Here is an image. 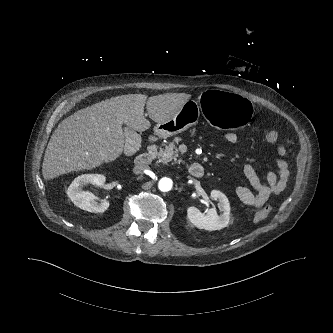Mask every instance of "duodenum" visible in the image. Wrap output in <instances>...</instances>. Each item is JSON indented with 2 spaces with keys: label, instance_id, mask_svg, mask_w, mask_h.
Wrapping results in <instances>:
<instances>
[{
  "label": "duodenum",
  "instance_id": "1",
  "mask_svg": "<svg viewBox=\"0 0 333 333\" xmlns=\"http://www.w3.org/2000/svg\"><path fill=\"white\" fill-rule=\"evenodd\" d=\"M155 139H151L148 144V149L145 153L139 154L135 160V166L138 170H143L152 162L155 156ZM189 173L194 178H201L204 175V168L202 164L195 162L189 166Z\"/></svg>",
  "mask_w": 333,
  "mask_h": 333
}]
</instances>
